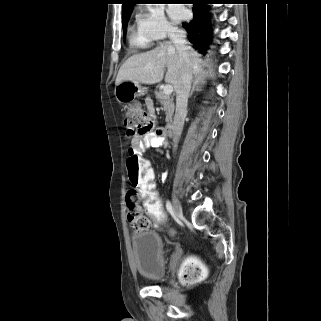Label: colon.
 <instances>
[{
    "instance_id": "5ec220e1",
    "label": "colon",
    "mask_w": 321,
    "mask_h": 321,
    "mask_svg": "<svg viewBox=\"0 0 321 321\" xmlns=\"http://www.w3.org/2000/svg\"><path fill=\"white\" fill-rule=\"evenodd\" d=\"M124 125L129 135H143L148 133L154 123V115L145 110L139 103L131 102L124 106ZM129 181L133 188L127 192V219L131 227L136 230L147 229L149 220L143 215L151 216V222H164L165 205L159 191H155L157 182L151 172L150 164L138 154L130 152L126 159ZM202 268L194 263H187L181 273L185 283H193L202 276Z\"/></svg>"
}]
</instances>
